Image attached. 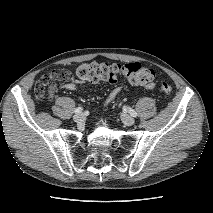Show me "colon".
Segmentation results:
<instances>
[{"mask_svg":"<svg viewBox=\"0 0 213 213\" xmlns=\"http://www.w3.org/2000/svg\"><path fill=\"white\" fill-rule=\"evenodd\" d=\"M75 75L84 82H108L116 83L119 80H126L133 85L145 86L147 89H154L153 83L155 72L140 63L116 64V63H84L77 67ZM69 73L64 70H57L45 74L35 86V95L38 99H43L47 87L54 81L67 79ZM159 89L164 93H171L172 87L168 83H162ZM120 86L114 88L108 98V103L112 102L120 93Z\"/></svg>","mask_w":213,"mask_h":213,"instance_id":"5ec220e1","label":"colon"}]
</instances>
